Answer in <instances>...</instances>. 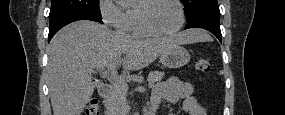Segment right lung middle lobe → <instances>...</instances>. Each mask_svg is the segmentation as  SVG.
<instances>
[{"mask_svg":"<svg viewBox=\"0 0 285 115\" xmlns=\"http://www.w3.org/2000/svg\"><path fill=\"white\" fill-rule=\"evenodd\" d=\"M72 14L101 18L99 0H51L50 22Z\"/></svg>","mask_w":285,"mask_h":115,"instance_id":"dd1d6c3e","label":"right lung middle lobe"}]
</instances>
